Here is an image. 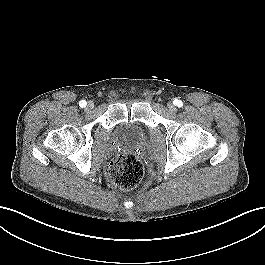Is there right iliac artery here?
<instances>
[{
  "label": "right iliac artery",
  "instance_id": "1",
  "mask_svg": "<svg viewBox=\"0 0 265 265\" xmlns=\"http://www.w3.org/2000/svg\"><path fill=\"white\" fill-rule=\"evenodd\" d=\"M79 105H80V107L84 108V107H86L87 103H86L85 100H81V101L79 102Z\"/></svg>",
  "mask_w": 265,
  "mask_h": 265
}]
</instances>
